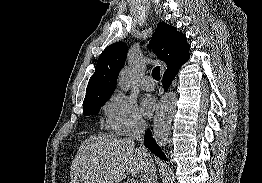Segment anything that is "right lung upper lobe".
<instances>
[{
    "label": "right lung upper lobe",
    "instance_id": "1",
    "mask_svg": "<svg viewBox=\"0 0 262 183\" xmlns=\"http://www.w3.org/2000/svg\"><path fill=\"white\" fill-rule=\"evenodd\" d=\"M149 47L166 63L167 70L164 74L178 71L189 59L190 46L186 36L165 22L157 25ZM127 52L128 46L124 42H116L105 48L98 58L95 73L87 86L84 102L107 98L113 94Z\"/></svg>",
    "mask_w": 262,
    "mask_h": 183
}]
</instances>
